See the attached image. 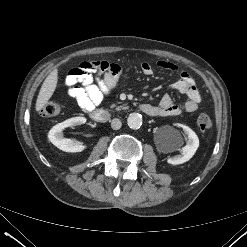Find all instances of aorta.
Wrapping results in <instances>:
<instances>
[{"mask_svg":"<svg viewBox=\"0 0 247 247\" xmlns=\"http://www.w3.org/2000/svg\"><path fill=\"white\" fill-rule=\"evenodd\" d=\"M127 124L131 129H139L142 126V115L139 113H131L127 118Z\"/></svg>","mask_w":247,"mask_h":247,"instance_id":"1","label":"aorta"}]
</instances>
